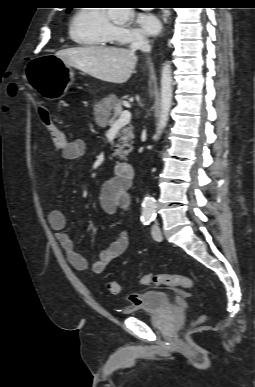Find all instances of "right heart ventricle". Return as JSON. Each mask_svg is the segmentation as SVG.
<instances>
[{
    "instance_id": "obj_1",
    "label": "right heart ventricle",
    "mask_w": 255,
    "mask_h": 387,
    "mask_svg": "<svg viewBox=\"0 0 255 387\" xmlns=\"http://www.w3.org/2000/svg\"><path fill=\"white\" fill-rule=\"evenodd\" d=\"M114 24L107 10L86 7L77 10L69 23V36L78 45L104 47L112 44Z\"/></svg>"
}]
</instances>
